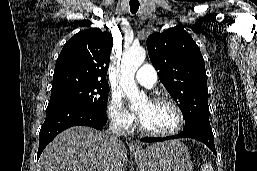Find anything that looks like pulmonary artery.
I'll return each mask as SVG.
<instances>
[{
    "label": "pulmonary artery",
    "mask_w": 257,
    "mask_h": 171,
    "mask_svg": "<svg viewBox=\"0 0 257 171\" xmlns=\"http://www.w3.org/2000/svg\"><path fill=\"white\" fill-rule=\"evenodd\" d=\"M135 79L139 84L152 88L157 82L156 69L150 64H144L137 71Z\"/></svg>",
    "instance_id": "e3ab8cb5"
}]
</instances>
